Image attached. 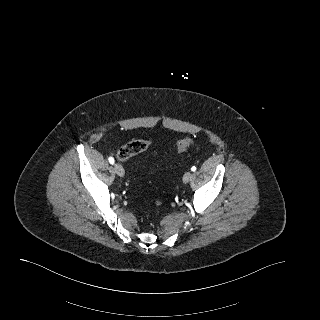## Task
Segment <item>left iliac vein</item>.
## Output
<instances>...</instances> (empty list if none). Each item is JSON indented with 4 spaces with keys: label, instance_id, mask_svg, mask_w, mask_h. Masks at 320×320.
I'll return each instance as SVG.
<instances>
[{
    "label": "left iliac vein",
    "instance_id": "4c4485c4",
    "mask_svg": "<svg viewBox=\"0 0 320 320\" xmlns=\"http://www.w3.org/2000/svg\"><path fill=\"white\" fill-rule=\"evenodd\" d=\"M192 173L191 172H186L183 176V182L188 183L191 180Z\"/></svg>",
    "mask_w": 320,
    "mask_h": 320
}]
</instances>
